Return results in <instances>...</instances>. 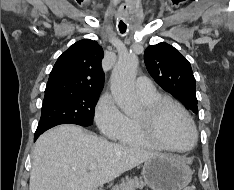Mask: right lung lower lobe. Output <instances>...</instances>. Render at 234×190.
I'll return each mask as SVG.
<instances>
[{"label": "right lung lower lobe", "instance_id": "obj_1", "mask_svg": "<svg viewBox=\"0 0 234 190\" xmlns=\"http://www.w3.org/2000/svg\"><path fill=\"white\" fill-rule=\"evenodd\" d=\"M40 134H41V133H35L34 140H36V139L39 137Z\"/></svg>", "mask_w": 234, "mask_h": 190}]
</instances>
